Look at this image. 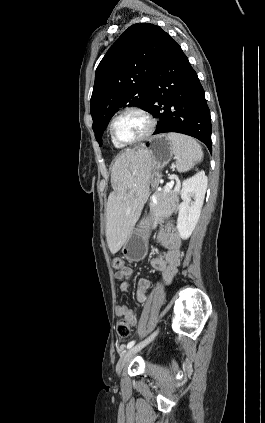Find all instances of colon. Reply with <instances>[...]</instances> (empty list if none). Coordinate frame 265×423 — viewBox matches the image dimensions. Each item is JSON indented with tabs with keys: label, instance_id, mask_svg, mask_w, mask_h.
<instances>
[{
	"label": "colon",
	"instance_id": "colon-1",
	"mask_svg": "<svg viewBox=\"0 0 265 423\" xmlns=\"http://www.w3.org/2000/svg\"><path fill=\"white\" fill-rule=\"evenodd\" d=\"M113 267L116 271H121L124 267V261L120 257L113 260ZM116 333L120 339H127L131 335V329L128 321L125 318H120L116 325Z\"/></svg>",
	"mask_w": 265,
	"mask_h": 423
}]
</instances>
